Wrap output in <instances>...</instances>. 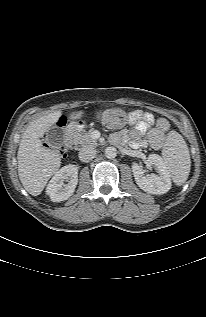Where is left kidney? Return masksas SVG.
<instances>
[{"label": "left kidney", "mask_w": 206, "mask_h": 317, "mask_svg": "<svg viewBox=\"0 0 206 317\" xmlns=\"http://www.w3.org/2000/svg\"><path fill=\"white\" fill-rule=\"evenodd\" d=\"M147 163L154 166L158 174L145 175V171L137 163H133L132 171L136 184L145 192L151 194H164L171 189L170 173L163 159L156 154L148 156Z\"/></svg>", "instance_id": "1"}]
</instances>
